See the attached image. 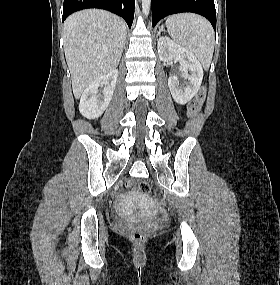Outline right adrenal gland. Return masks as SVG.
<instances>
[{
  "label": "right adrenal gland",
  "mask_w": 280,
  "mask_h": 285,
  "mask_svg": "<svg viewBox=\"0 0 280 285\" xmlns=\"http://www.w3.org/2000/svg\"><path fill=\"white\" fill-rule=\"evenodd\" d=\"M125 45H126V41H124V46H123V48H125Z\"/></svg>",
  "instance_id": "obj_1"
}]
</instances>
